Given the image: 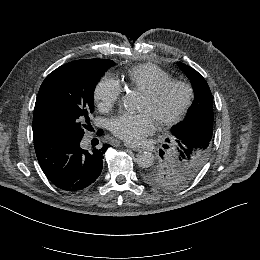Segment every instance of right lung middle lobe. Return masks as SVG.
Listing matches in <instances>:
<instances>
[{
	"label": "right lung middle lobe",
	"instance_id": "right-lung-middle-lobe-1",
	"mask_svg": "<svg viewBox=\"0 0 260 260\" xmlns=\"http://www.w3.org/2000/svg\"><path fill=\"white\" fill-rule=\"evenodd\" d=\"M114 63L62 65L43 81L34 109L35 143L64 138H82L94 112L96 83Z\"/></svg>",
	"mask_w": 260,
	"mask_h": 260
}]
</instances>
